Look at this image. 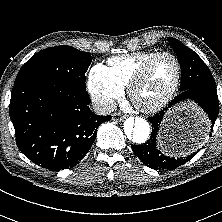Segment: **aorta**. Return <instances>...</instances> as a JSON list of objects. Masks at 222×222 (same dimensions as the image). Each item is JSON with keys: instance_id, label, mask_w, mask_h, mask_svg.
<instances>
[{"instance_id": "1", "label": "aorta", "mask_w": 222, "mask_h": 222, "mask_svg": "<svg viewBox=\"0 0 222 222\" xmlns=\"http://www.w3.org/2000/svg\"><path fill=\"white\" fill-rule=\"evenodd\" d=\"M123 135L126 141L142 145L150 136V125L142 117H130L124 122Z\"/></svg>"}]
</instances>
